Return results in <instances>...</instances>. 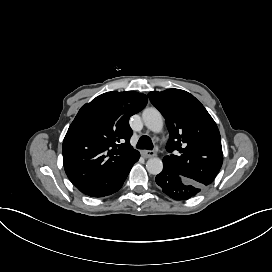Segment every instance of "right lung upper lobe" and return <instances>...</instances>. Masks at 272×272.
<instances>
[{
    "mask_svg": "<svg viewBox=\"0 0 272 272\" xmlns=\"http://www.w3.org/2000/svg\"><path fill=\"white\" fill-rule=\"evenodd\" d=\"M147 102L144 94L114 91L81 107L62 148L65 172L75 186L102 178L139 155L129 143V118Z\"/></svg>",
    "mask_w": 272,
    "mask_h": 272,
    "instance_id": "cb5924a9",
    "label": "right lung upper lobe"
}]
</instances>
